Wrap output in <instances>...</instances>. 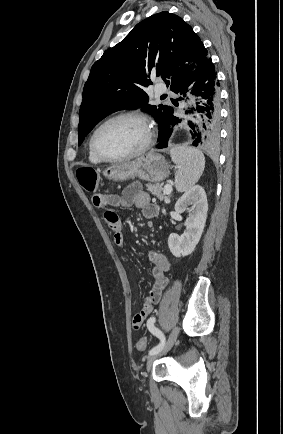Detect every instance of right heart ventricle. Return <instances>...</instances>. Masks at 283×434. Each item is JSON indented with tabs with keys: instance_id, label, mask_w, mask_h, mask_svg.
<instances>
[{
	"instance_id": "e07e8e85",
	"label": "right heart ventricle",
	"mask_w": 283,
	"mask_h": 434,
	"mask_svg": "<svg viewBox=\"0 0 283 434\" xmlns=\"http://www.w3.org/2000/svg\"><path fill=\"white\" fill-rule=\"evenodd\" d=\"M88 155H89V160H90L92 163H100V162H101V160H100L99 158H97L96 155L93 153L90 144H89Z\"/></svg>"
}]
</instances>
